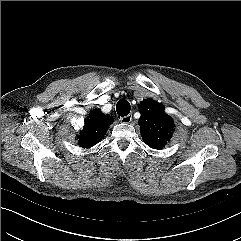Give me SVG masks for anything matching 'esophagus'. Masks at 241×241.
<instances>
[{"instance_id":"esophagus-1","label":"esophagus","mask_w":241,"mask_h":241,"mask_svg":"<svg viewBox=\"0 0 241 241\" xmlns=\"http://www.w3.org/2000/svg\"><path fill=\"white\" fill-rule=\"evenodd\" d=\"M120 121L122 123H130L132 121V115L129 114L127 116H124V117H120Z\"/></svg>"}]
</instances>
